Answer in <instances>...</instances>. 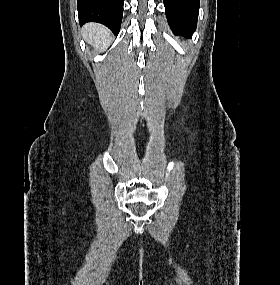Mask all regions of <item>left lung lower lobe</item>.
<instances>
[{
    "instance_id": "left-lung-lower-lobe-1",
    "label": "left lung lower lobe",
    "mask_w": 280,
    "mask_h": 285,
    "mask_svg": "<svg viewBox=\"0 0 280 285\" xmlns=\"http://www.w3.org/2000/svg\"><path fill=\"white\" fill-rule=\"evenodd\" d=\"M164 5L172 31L190 37L196 29L199 0H164Z\"/></svg>"
}]
</instances>
